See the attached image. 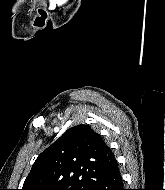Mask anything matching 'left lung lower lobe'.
Instances as JSON below:
<instances>
[{"label": "left lung lower lobe", "mask_w": 165, "mask_h": 190, "mask_svg": "<svg viewBox=\"0 0 165 190\" xmlns=\"http://www.w3.org/2000/svg\"><path fill=\"white\" fill-rule=\"evenodd\" d=\"M92 190H125L117 161L93 185Z\"/></svg>", "instance_id": "obj_1"}]
</instances>
